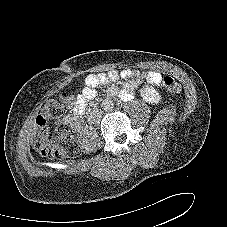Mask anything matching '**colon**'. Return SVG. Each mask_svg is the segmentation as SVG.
Instances as JSON below:
<instances>
[{
    "label": "colon",
    "mask_w": 227,
    "mask_h": 227,
    "mask_svg": "<svg viewBox=\"0 0 227 227\" xmlns=\"http://www.w3.org/2000/svg\"><path fill=\"white\" fill-rule=\"evenodd\" d=\"M162 86L169 94L180 92L179 83L170 76L162 79ZM64 101L71 102V97H64ZM64 107L57 100L46 102L36 119V127L33 135V147L41 155L47 157H74L79 148L66 124H59L54 130L46 126L47 119H60L64 115Z\"/></svg>",
    "instance_id": "1"
}]
</instances>
